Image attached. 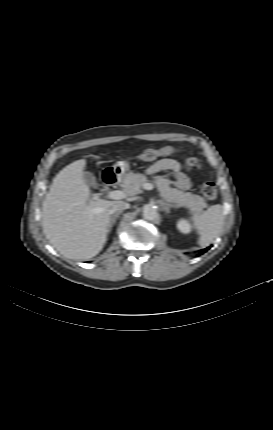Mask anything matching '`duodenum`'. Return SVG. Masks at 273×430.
I'll use <instances>...</instances> for the list:
<instances>
[{"label":"duodenum","instance_id":"410a0bca","mask_svg":"<svg viewBox=\"0 0 273 430\" xmlns=\"http://www.w3.org/2000/svg\"><path fill=\"white\" fill-rule=\"evenodd\" d=\"M103 181L108 186L115 185L117 183V176L114 173H111V172L106 173L103 176Z\"/></svg>","mask_w":273,"mask_h":430}]
</instances>
